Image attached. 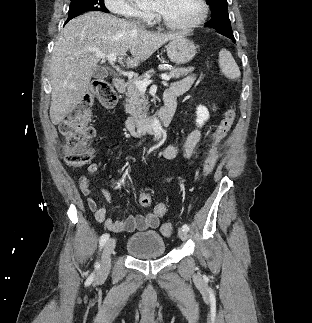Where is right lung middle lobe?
<instances>
[{
    "label": "right lung middle lobe",
    "mask_w": 312,
    "mask_h": 323,
    "mask_svg": "<svg viewBox=\"0 0 312 323\" xmlns=\"http://www.w3.org/2000/svg\"><path fill=\"white\" fill-rule=\"evenodd\" d=\"M87 11L108 12L104 6V0H72L68 12L67 22Z\"/></svg>",
    "instance_id": "obj_1"
}]
</instances>
